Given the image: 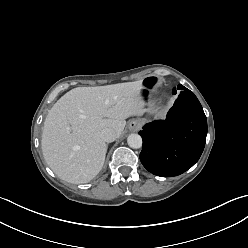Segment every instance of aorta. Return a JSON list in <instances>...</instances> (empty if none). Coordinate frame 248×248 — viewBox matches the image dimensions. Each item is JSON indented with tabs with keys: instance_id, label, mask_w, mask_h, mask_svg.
I'll return each instance as SVG.
<instances>
[{
	"instance_id": "aorta-1",
	"label": "aorta",
	"mask_w": 248,
	"mask_h": 248,
	"mask_svg": "<svg viewBox=\"0 0 248 248\" xmlns=\"http://www.w3.org/2000/svg\"><path fill=\"white\" fill-rule=\"evenodd\" d=\"M127 143L131 148L139 149L142 147V138L139 134H130Z\"/></svg>"
}]
</instances>
